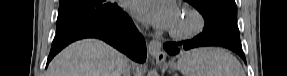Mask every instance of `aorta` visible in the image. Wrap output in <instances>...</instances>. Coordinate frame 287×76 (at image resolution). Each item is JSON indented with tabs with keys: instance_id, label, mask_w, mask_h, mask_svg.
Segmentation results:
<instances>
[{
	"instance_id": "762f6f07",
	"label": "aorta",
	"mask_w": 287,
	"mask_h": 76,
	"mask_svg": "<svg viewBox=\"0 0 287 76\" xmlns=\"http://www.w3.org/2000/svg\"><path fill=\"white\" fill-rule=\"evenodd\" d=\"M148 76H158V74L155 70H152L148 73Z\"/></svg>"
}]
</instances>
